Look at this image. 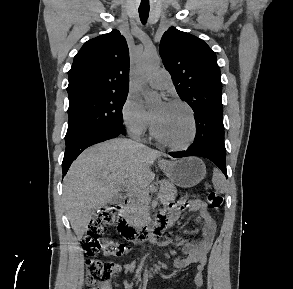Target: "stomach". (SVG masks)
I'll return each instance as SVG.
<instances>
[{
	"instance_id": "stomach-1",
	"label": "stomach",
	"mask_w": 293,
	"mask_h": 289,
	"mask_svg": "<svg viewBox=\"0 0 293 289\" xmlns=\"http://www.w3.org/2000/svg\"><path fill=\"white\" fill-rule=\"evenodd\" d=\"M169 180L181 187H192L200 183L206 175L204 162L197 157H187L160 163Z\"/></svg>"
}]
</instances>
